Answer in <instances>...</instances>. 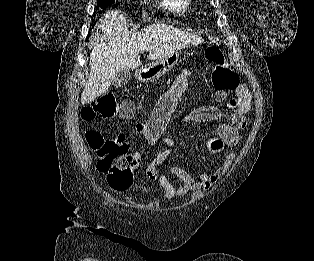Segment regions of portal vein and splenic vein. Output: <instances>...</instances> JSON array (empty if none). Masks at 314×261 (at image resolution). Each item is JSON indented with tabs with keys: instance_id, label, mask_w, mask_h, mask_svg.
Instances as JSON below:
<instances>
[{
	"instance_id": "portal-vein-and-splenic-vein-1",
	"label": "portal vein and splenic vein",
	"mask_w": 314,
	"mask_h": 261,
	"mask_svg": "<svg viewBox=\"0 0 314 261\" xmlns=\"http://www.w3.org/2000/svg\"><path fill=\"white\" fill-rule=\"evenodd\" d=\"M149 49H150V47H147V46H144L141 48V50H149Z\"/></svg>"
}]
</instances>
